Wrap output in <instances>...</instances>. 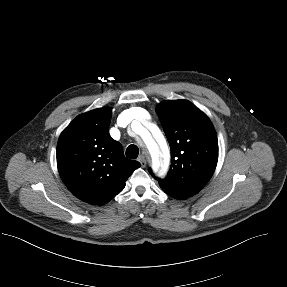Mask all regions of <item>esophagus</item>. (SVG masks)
<instances>
[{
  "label": "esophagus",
  "instance_id": "1",
  "mask_svg": "<svg viewBox=\"0 0 287 287\" xmlns=\"http://www.w3.org/2000/svg\"><path fill=\"white\" fill-rule=\"evenodd\" d=\"M138 160L143 168L146 167L147 162L144 156H140Z\"/></svg>",
  "mask_w": 287,
  "mask_h": 287
}]
</instances>
